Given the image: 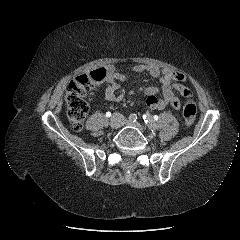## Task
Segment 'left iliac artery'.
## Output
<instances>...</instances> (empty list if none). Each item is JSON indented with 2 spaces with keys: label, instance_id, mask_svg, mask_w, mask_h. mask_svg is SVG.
I'll return each mask as SVG.
<instances>
[{
  "label": "left iliac artery",
  "instance_id": "44dca946",
  "mask_svg": "<svg viewBox=\"0 0 240 240\" xmlns=\"http://www.w3.org/2000/svg\"><path fill=\"white\" fill-rule=\"evenodd\" d=\"M143 120L145 124L149 127V129H151L153 132V130H155V123H154V120H152L150 114H144Z\"/></svg>",
  "mask_w": 240,
  "mask_h": 240
}]
</instances>
